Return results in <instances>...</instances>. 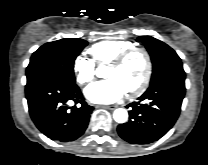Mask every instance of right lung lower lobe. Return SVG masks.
I'll use <instances>...</instances> for the list:
<instances>
[{
    "label": "right lung lower lobe",
    "mask_w": 208,
    "mask_h": 165,
    "mask_svg": "<svg viewBox=\"0 0 208 165\" xmlns=\"http://www.w3.org/2000/svg\"><path fill=\"white\" fill-rule=\"evenodd\" d=\"M25 93L34 124L48 138L68 142L85 132L93 107L75 83L44 78L26 86ZM70 100L79 105L68 107Z\"/></svg>",
    "instance_id": "obj_1"
}]
</instances>
